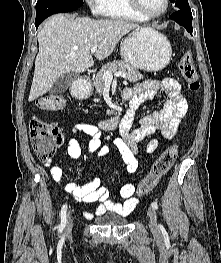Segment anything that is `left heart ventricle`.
<instances>
[{"mask_svg":"<svg viewBox=\"0 0 221 263\" xmlns=\"http://www.w3.org/2000/svg\"><path fill=\"white\" fill-rule=\"evenodd\" d=\"M140 4L146 13L154 14L162 11L165 0H140Z\"/></svg>","mask_w":221,"mask_h":263,"instance_id":"1","label":"left heart ventricle"}]
</instances>
